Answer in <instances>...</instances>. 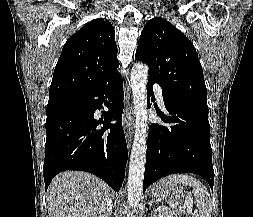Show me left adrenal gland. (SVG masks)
<instances>
[{
	"instance_id": "obj_1",
	"label": "left adrenal gland",
	"mask_w": 253,
	"mask_h": 217,
	"mask_svg": "<svg viewBox=\"0 0 253 217\" xmlns=\"http://www.w3.org/2000/svg\"><path fill=\"white\" fill-rule=\"evenodd\" d=\"M152 203H154V199L153 198L151 200L150 206L152 205ZM156 214H157V210L155 208H153V214H151V217H157Z\"/></svg>"
}]
</instances>
